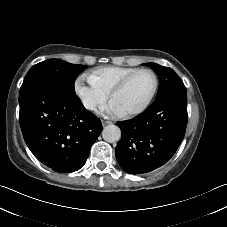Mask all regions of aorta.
I'll return each mask as SVG.
<instances>
[{
  "label": "aorta",
  "instance_id": "1",
  "mask_svg": "<svg viewBox=\"0 0 227 227\" xmlns=\"http://www.w3.org/2000/svg\"><path fill=\"white\" fill-rule=\"evenodd\" d=\"M103 139L109 143H114L121 138V130L116 125H108L102 131Z\"/></svg>",
  "mask_w": 227,
  "mask_h": 227
}]
</instances>
